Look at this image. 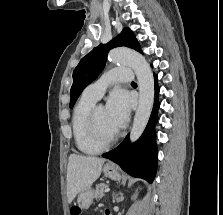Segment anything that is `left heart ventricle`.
Returning <instances> with one entry per match:
<instances>
[{"label": "left heart ventricle", "mask_w": 223, "mask_h": 215, "mask_svg": "<svg viewBox=\"0 0 223 215\" xmlns=\"http://www.w3.org/2000/svg\"><path fill=\"white\" fill-rule=\"evenodd\" d=\"M97 121L102 139L106 142L112 140L118 129L107 118L105 108H98Z\"/></svg>", "instance_id": "1"}]
</instances>
